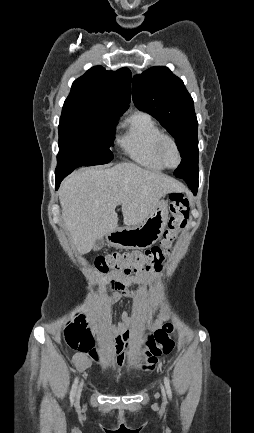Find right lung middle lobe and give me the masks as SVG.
I'll return each instance as SVG.
<instances>
[{"mask_svg": "<svg viewBox=\"0 0 254 433\" xmlns=\"http://www.w3.org/2000/svg\"><path fill=\"white\" fill-rule=\"evenodd\" d=\"M117 120L110 112L96 107H63L57 161L79 166L110 162L113 155L109 147L113 146Z\"/></svg>", "mask_w": 254, "mask_h": 433, "instance_id": "right-lung-middle-lobe-1", "label": "right lung middle lobe"}]
</instances>
